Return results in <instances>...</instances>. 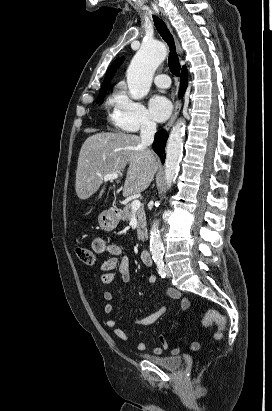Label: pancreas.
<instances>
[{
	"label": "pancreas",
	"instance_id": "cf45deb5",
	"mask_svg": "<svg viewBox=\"0 0 272 411\" xmlns=\"http://www.w3.org/2000/svg\"><path fill=\"white\" fill-rule=\"evenodd\" d=\"M135 215L137 217V235L139 240H144L145 234H146V217H145V212L144 208L140 207L138 210H136ZM132 217V208L131 204H127L122 212H121V219L123 221H130Z\"/></svg>",
	"mask_w": 272,
	"mask_h": 411
}]
</instances>
